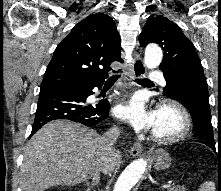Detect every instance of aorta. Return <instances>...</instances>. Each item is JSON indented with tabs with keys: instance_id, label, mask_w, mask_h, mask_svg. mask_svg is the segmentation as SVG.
<instances>
[{
	"instance_id": "762f6f07",
	"label": "aorta",
	"mask_w": 221,
	"mask_h": 191,
	"mask_svg": "<svg viewBox=\"0 0 221 191\" xmlns=\"http://www.w3.org/2000/svg\"><path fill=\"white\" fill-rule=\"evenodd\" d=\"M163 58L161 48L156 44H150L145 49L144 64L148 69L157 68ZM146 161L138 159L131 162L119 176L113 191H130L140 180L145 169Z\"/></svg>"
}]
</instances>
